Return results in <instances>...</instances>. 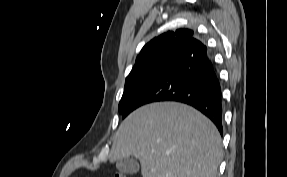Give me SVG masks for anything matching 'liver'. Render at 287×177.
Wrapping results in <instances>:
<instances>
[{"label":"liver","instance_id":"obj_1","mask_svg":"<svg viewBox=\"0 0 287 177\" xmlns=\"http://www.w3.org/2000/svg\"><path fill=\"white\" fill-rule=\"evenodd\" d=\"M135 156L143 177H217L220 134L196 109L176 102L140 107L120 124L110 161Z\"/></svg>","mask_w":287,"mask_h":177}]
</instances>
